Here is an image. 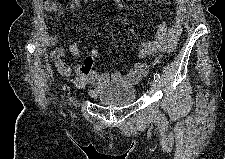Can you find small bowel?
Instances as JSON below:
<instances>
[{"label": "small bowel", "mask_w": 225, "mask_h": 159, "mask_svg": "<svg viewBox=\"0 0 225 159\" xmlns=\"http://www.w3.org/2000/svg\"><path fill=\"white\" fill-rule=\"evenodd\" d=\"M82 7L81 0H71L69 8L72 11H79ZM41 9L46 13L54 14L57 18H61L64 14L63 7L56 1L45 0L41 3ZM187 11V2L178 0L176 17L173 24L168 28L166 23L162 22L157 29L155 38L152 41H140L137 43L136 57L139 61L133 64L128 73L123 74L120 71L112 73L100 72L95 69L94 65L99 59L101 53L97 49L91 50V56L84 59L79 65H72L63 60L66 52L72 56L81 55L80 44L73 42L68 49L56 47L51 52V58L55 62L58 72L68 77L77 88H85L92 85L90 96L96 97L101 89L112 83H123L128 85L137 84L142 77L148 72V66L143 61L146 57L157 52H172L178 43L181 25ZM40 34L43 43L47 47H54L57 44V34H52L45 19L40 20Z\"/></svg>", "instance_id": "1"}]
</instances>
